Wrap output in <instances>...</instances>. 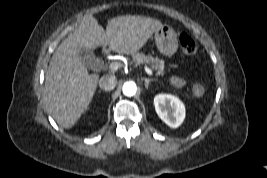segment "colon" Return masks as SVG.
<instances>
[{
	"instance_id": "1",
	"label": "colon",
	"mask_w": 267,
	"mask_h": 178,
	"mask_svg": "<svg viewBox=\"0 0 267 178\" xmlns=\"http://www.w3.org/2000/svg\"><path fill=\"white\" fill-rule=\"evenodd\" d=\"M181 46L185 53L193 55L197 51L195 42L187 35H182L180 38Z\"/></svg>"
}]
</instances>
